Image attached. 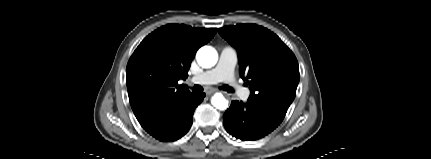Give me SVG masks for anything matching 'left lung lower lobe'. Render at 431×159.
<instances>
[{
  "mask_svg": "<svg viewBox=\"0 0 431 159\" xmlns=\"http://www.w3.org/2000/svg\"><path fill=\"white\" fill-rule=\"evenodd\" d=\"M284 117L285 114L267 106L232 101L223 115V123L233 137L254 141L272 132Z\"/></svg>",
  "mask_w": 431,
  "mask_h": 159,
  "instance_id": "0a47b994",
  "label": "left lung lower lobe"
}]
</instances>
